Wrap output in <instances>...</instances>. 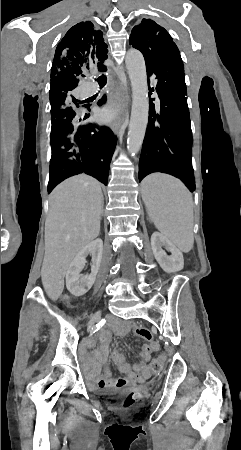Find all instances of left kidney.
I'll list each match as a JSON object with an SVG mask.
<instances>
[{
    "mask_svg": "<svg viewBox=\"0 0 241 450\" xmlns=\"http://www.w3.org/2000/svg\"><path fill=\"white\" fill-rule=\"evenodd\" d=\"M164 246L165 250L171 252V256H167L165 250H162ZM151 248L154 254L155 260H157L159 266H161L164 272H180L184 268V258L182 252L175 248L174 244L159 232H154L151 236Z\"/></svg>",
    "mask_w": 241,
    "mask_h": 450,
    "instance_id": "5707ae66",
    "label": "left kidney"
}]
</instances>
